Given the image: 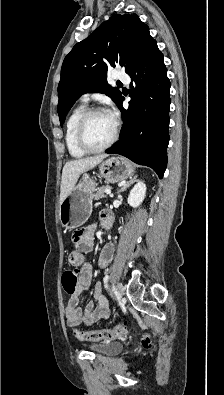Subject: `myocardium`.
<instances>
[{"instance_id": "obj_1", "label": "myocardium", "mask_w": 224, "mask_h": 395, "mask_svg": "<svg viewBox=\"0 0 224 395\" xmlns=\"http://www.w3.org/2000/svg\"><path fill=\"white\" fill-rule=\"evenodd\" d=\"M99 113H107L103 108L100 107H92L87 109L83 115L81 116L76 129V138L78 145L86 152V153H99L105 151L109 147H111L117 140L120 130V123L118 120H114V131L111 138L100 147L91 146L86 139V126L89 119Z\"/></svg>"}]
</instances>
